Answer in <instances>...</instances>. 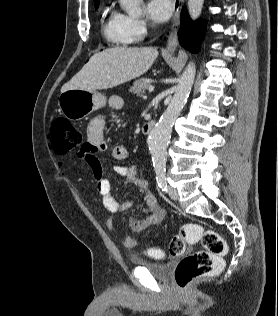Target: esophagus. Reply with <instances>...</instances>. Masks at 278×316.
Returning a JSON list of instances; mask_svg holds the SVG:
<instances>
[{
  "label": "esophagus",
  "instance_id": "1",
  "mask_svg": "<svg viewBox=\"0 0 278 316\" xmlns=\"http://www.w3.org/2000/svg\"><path fill=\"white\" fill-rule=\"evenodd\" d=\"M183 4L184 0H173L174 15L166 46V51L168 53H174L178 46V31L180 28V16Z\"/></svg>",
  "mask_w": 278,
  "mask_h": 316
}]
</instances>
